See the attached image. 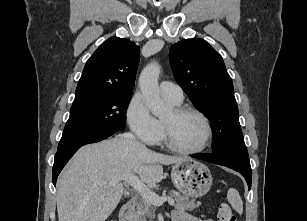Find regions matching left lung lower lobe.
<instances>
[{
	"label": "left lung lower lobe",
	"instance_id": "1",
	"mask_svg": "<svg viewBox=\"0 0 307 221\" xmlns=\"http://www.w3.org/2000/svg\"><path fill=\"white\" fill-rule=\"evenodd\" d=\"M196 159L205 160L211 163L219 164L234 169L240 172L248 184L249 190L251 188L252 170L250 161L241 160L231 155H197L193 156Z\"/></svg>",
	"mask_w": 307,
	"mask_h": 221
}]
</instances>
